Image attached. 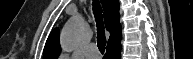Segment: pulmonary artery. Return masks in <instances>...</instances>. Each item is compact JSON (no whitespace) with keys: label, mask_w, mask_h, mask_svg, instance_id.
Segmentation results:
<instances>
[{"label":"pulmonary artery","mask_w":193,"mask_h":59,"mask_svg":"<svg viewBox=\"0 0 193 59\" xmlns=\"http://www.w3.org/2000/svg\"><path fill=\"white\" fill-rule=\"evenodd\" d=\"M97 51L94 44H91L86 52V58L87 59H95L97 58Z\"/></svg>","instance_id":"pulmonary-artery-1"}]
</instances>
